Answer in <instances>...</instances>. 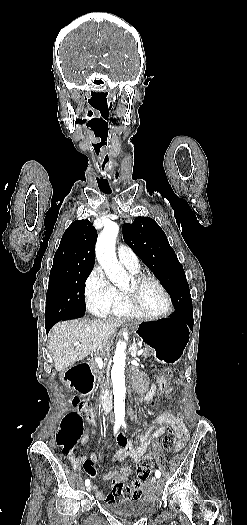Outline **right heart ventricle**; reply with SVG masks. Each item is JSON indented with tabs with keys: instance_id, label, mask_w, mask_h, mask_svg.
Listing matches in <instances>:
<instances>
[{
	"instance_id": "e07e8e85",
	"label": "right heart ventricle",
	"mask_w": 247,
	"mask_h": 525,
	"mask_svg": "<svg viewBox=\"0 0 247 525\" xmlns=\"http://www.w3.org/2000/svg\"><path fill=\"white\" fill-rule=\"evenodd\" d=\"M125 268L127 269L128 273L130 274L131 279L134 276H138L139 269L137 265H127L124 264ZM104 317H145L144 315H141L138 313V311L128 305H114L105 315Z\"/></svg>"
}]
</instances>
